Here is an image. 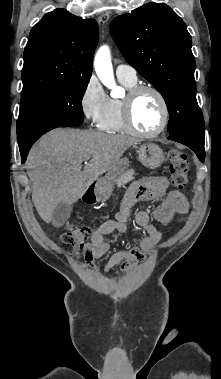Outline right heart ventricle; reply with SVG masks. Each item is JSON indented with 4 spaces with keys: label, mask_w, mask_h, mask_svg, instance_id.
<instances>
[{
    "label": "right heart ventricle",
    "mask_w": 221,
    "mask_h": 379,
    "mask_svg": "<svg viewBox=\"0 0 221 379\" xmlns=\"http://www.w3.org/2000/svg\"><path fill=\"white\" fill-rule=\"evenodd\" d=\"M120 83L127 89L136 85L124 79H119ZM98 128L102 131L118 133L127 131L123 122L122 100L118 98H109L107 110L98 124Z\"/></svg>",
    "instance_id": "1"
}]
</instances>
